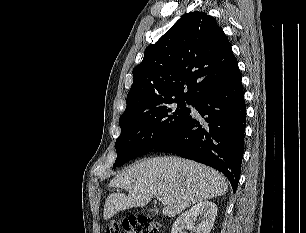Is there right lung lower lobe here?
<instances>
[{
    "label": "right lung lower lobe",
    "mask_w": 306,
    "mask_h": 233,
    "mask_svg": "<svg viewBox=\"0 0 306 233\" xmlns=\"http://www.w3.org/2000/svg\"><path fill=\"white\" fill-rule=\"evenodd\" d=\"M202 119L190 114L153 150L174 153L221 171L237 189L244 151L246 106L241 74L195 103Z\"/></svg>",
    "instance_id": "98d812e1"
}]
</instances>
